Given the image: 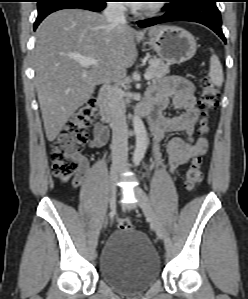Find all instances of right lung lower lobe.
<instances>
[{"label":"right lung lower lobe","instance_id":"right-lung-lower-lobe-1","mask_svg":"<svg viewBox=\"0 0 248 299\" xmlns=\"http://www.w3.org/2000/svg\"><path fill=\"white\" fill-rule=\"evenodd\" d=\"M106 0H41L38 2V17L34 30L50 13L61 9L80 8L99 12L105 8Z\"/></svg>","mask_w":248,"mask_h":299}]
</instances>
